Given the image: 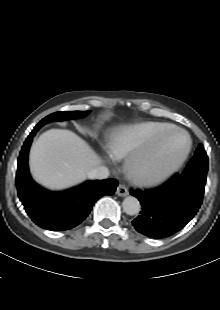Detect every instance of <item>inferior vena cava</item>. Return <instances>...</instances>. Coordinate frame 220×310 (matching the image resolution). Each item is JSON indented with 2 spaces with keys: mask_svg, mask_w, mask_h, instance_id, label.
Returning a JSON list of instances; mask_svg holds the SVG:
<instances>
[{
  "mask_svg": "<svg viewBox=\"0 0 220 310\" xmlns=\"http://www.w3.org/2000/svg\"><path fill=\"white\" fill-rule=\"evenodd\" d=\"M90 179H105L109 176V170L105 166H97L87 174Z\"/></svg>",
  "mask_w": 220,
  "mask_h": 310,
  "instance_id": "602c4592",
  "label": "inferior vena cava"
}]
</instances>
